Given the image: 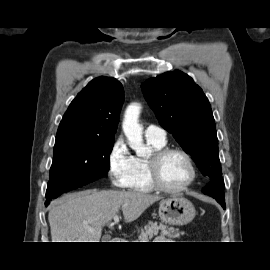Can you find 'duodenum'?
Returning <instances> with one entry per match:
<instances>
[{"mask_svg":"<svg viewBox=\"0 0 270 270\" xmlns=\"http://www.w3.org/2000/svg\"><path fill=\"white\" fill-rule=\"evenodd\" d=\"M118 240L115 238H112V242H117Z\"/></svg>","mask_w":270,"mask_h":270,"instance_id":"410a0bca","label":"duodenum"}]
</instances>
